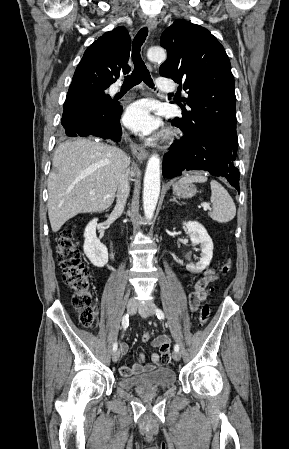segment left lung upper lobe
I'll list each match as a JSON object with an SVG mask.
<instances>
[{
	"instance_id": "1",
	"label": "left lung upper lobe",
	"mask_w": 289,
	"mask_h": 449,
	"mask_svg": "<svg viewBox=\"0 0 289 449\" xmlns=\"http://www.w3.org/2000/svg\"><path fill=\"white\" fill-rule=\"evenodd\" d=\"M160 44L168 53L160 75L183 83L188 94L183 101L191 108L175 120L189 128L208 123L236 133L234 76L219 41L206 28L181 19L163 32Z\"/></svg>"
}]
</instances>
